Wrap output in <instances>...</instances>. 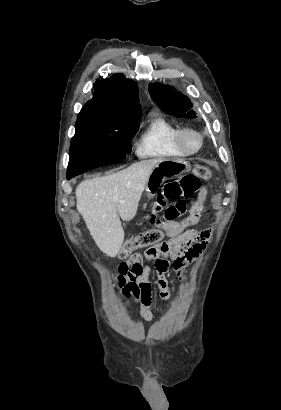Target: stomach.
<instances>
[{"label": "stomach", "mask_w": 281, "mask_h": 410, "mask_svg": "<svg viewBox=\"0 0 281 410\" xmlns=\"http://www.w3.org/2000/svg\"><path fill=\"white\" fill-rule=\"evenodd\" d=\"M191 168L190 164L183 159L164 158L160 159L151 171L147 182L146 192L148 198H151L159 186L168 178L179 176Z\"/></svg>", "instance_id": "0dacf381"}]
</instances>
